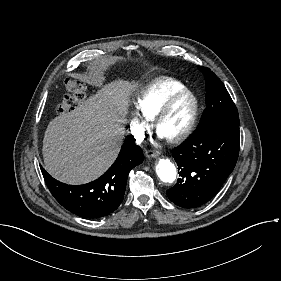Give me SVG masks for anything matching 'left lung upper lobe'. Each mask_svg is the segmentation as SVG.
Returning a JSON list of instances; mask_svg holds the SVG:
<instances>
[{
	"mask_svg": "<svg viewBox=\"0 0 281 281\" xmlns=\"http://www.w3.org/2000/svg\"><path fill=\"white\" fill-rule=\"evenodd\" d=\"M206 78V109L200 124H229L239 126V116L234 102L219 78L209 69L198 67Z\"/></svg>",
	"mask_w": 281,
	"mask_h": 281,
	"instance_id": "left-lung-upper-lobe-1",
	"label": "left lung upper lobe"
}]
</instances>
